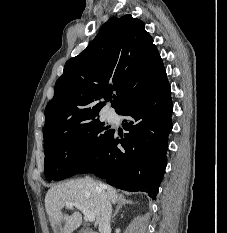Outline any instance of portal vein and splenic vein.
I'll use <instances>...</instances> for the list:
<instances>
[{
    "instance_id": "obj_1",
    "label": "portal vein and splenic vein",
    "mask_w": 227,
    "mask_h": 233,
    "mask_svg": "<svg viewBox=\"0 0 227 233\" xmlns=\"http://www.w3.org/2000/svg\"><path fill=\"white\" fill-rule=\"evenodd\" d=\"M66 207H68V208H72V207L77 208L78 210H80L84 214L86 220H88L89 222H93L95 220L94 213L89 211L85 206H83L80 203L66 202Z\"/></svg>"
}]
</instances>
